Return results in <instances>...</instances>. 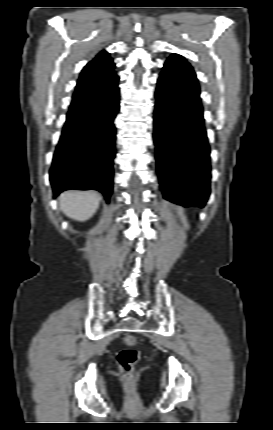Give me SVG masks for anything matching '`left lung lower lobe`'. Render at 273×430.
<instances>
[{"instance_id":"obj_1","label":"left lung lower lobe","mask_w":273,"mask_h":430,"mask_svg":"<svg viewBox=\"0 0 273 430\" xmlns=\"http://www.w3.org/2000/svg\"><path fill=\"white\" fill-rule=\"evenodd\" d=\"M184 75L161 74L155 93L154 141L166 200L203 208L210 194V147L200 96L180 88Z\"/></svg>"}]
</instances>
